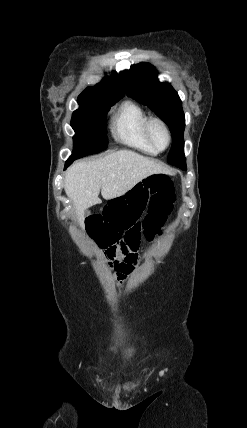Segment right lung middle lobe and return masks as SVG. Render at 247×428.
Listing matches in <instances>:
<instances>
[{"instance_id":"obj_1","label":"right lung middle lobe","mask_w":247,"mask_h":428,"mask_svg":"<svg viewBox=\"0 0 247 428\" xmlns=\"http://www.w3.org/2000/svg\"><path fill=\"white\" fill-rule=\"evenodd\" d=\"M79 109L73 112L71 126L75 131L74 149L69 159L99 153L107 148L106 115L114 103L78 97Z\"/></svg>"}]
</instances>
